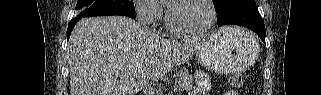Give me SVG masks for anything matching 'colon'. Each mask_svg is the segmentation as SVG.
Segmentation results:
<instances>
[{"mask_svg": "<svg viewBox=\"0 0 321 95\" xmlns=\"http://www.w3.org/2000/svg\"><path fill=\"white\" fill-rule=\"evenodd\" d=\"M243 84V77L241 75H233L229 79V85L234 88H239Z\"/></svg>", "mask_w": 321, "mask_h": 95, "instance_id": "obj_1", "label": "colon"}]
</instances>
